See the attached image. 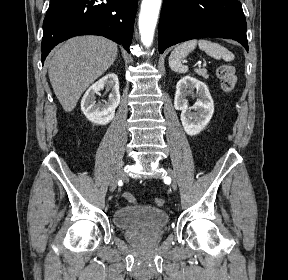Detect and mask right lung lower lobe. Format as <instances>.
<instances>
[{
    "instance_id": "1",
    "label": "right lung lower lobe",
    "mask_w": 288,
    "mask_h": 280,
    "mask_svg": "<svg viewBox=\"0 0 288 280\" xmlns=\"http://www.w3.org/2000/svg\"><path fill=\"white\" fill-rule=\"evenodd\" d=\"M138 0H50L43 22L42 64L60 42L78 35L107 37L128 50Z\"/></svg>"
}]
</instances>
